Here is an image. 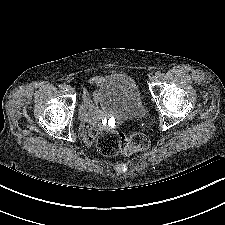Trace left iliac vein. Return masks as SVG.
Instances as JSON below:
<instances>
[{"label": "left iliac vein", "instance_id": "obj_1", "mask_svg": "<svg viewBox=\"0 0 225 225\" xmlns=\"http://www.w3.org/2000/svg\"><path fill=\"white\" fill-rule=\"evenodd\" d=\"M149 79H150V82H151V83L156 82V77H155V76H151Z\"/></svg>", "mask_w": 225, "mask_h": 225}]
</instances>
